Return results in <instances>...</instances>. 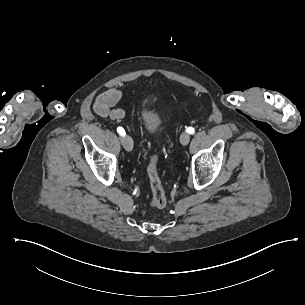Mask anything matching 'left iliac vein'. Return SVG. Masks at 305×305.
Returning <instances> with one entry per match:
<instances>
[{"label": "left iliac vein", "mask_w": 305, "mask_h": 305, "mask_svg": "<svg viewBox=\"0 0 305 305\" xmlns=\"http://www.w3.org/2000/svg\"><path fill=\"white\" fill-rule=\"evenodd\" d=\"M190 141V135L187 132H183L180 136V142L182 145H187Z\"/></svg>", "instance_id": "left-iliac-vein-1"}]
</instances>
